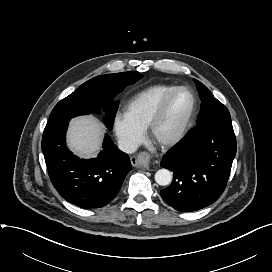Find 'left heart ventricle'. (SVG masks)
Here are the masks:
<instances>
[{
	"label": "left heart ventricle",
	"mask_w": 272,
	"mask_h": 272,
	"mask_svg": "<svg viewBox=\"0 0 272 272\" xmlns=\"http://www.w3.org/2000/svg\"><path fill=\"white\" fill-rule=\"evenodd\" d=\"M192 103V96L187 91H181L174 97L166 116L158 126V139H169L178 133L191 111Z\"/></svg>",
	"instance_id": "1"
}]
</instances>
